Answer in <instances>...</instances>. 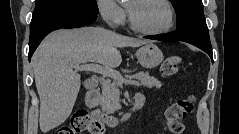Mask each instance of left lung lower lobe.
<instances>
[{
	"instance_id": "0a47b994",
	"label": "left lung lower lobe",
	"mask_w": 239,
	"mask_h": 134,
	"mask_svg": "<svg viewBox=\"0 0 239 134\" xmlns=\"http://www.w3.org/2000/svg\"><path fill=\"white\" fill-rule=\"evenodd\" d=\"M148 39L161 41H184L195 45L205 51L213 62L212 48L209 38L208 28L189 27L175 32L159 34L155 36H146Z\"/></svg>"
}]
</instances>
